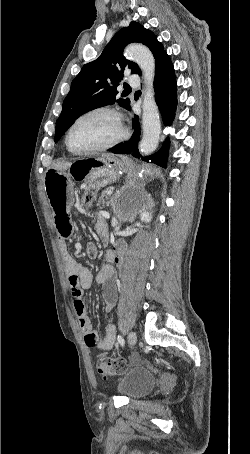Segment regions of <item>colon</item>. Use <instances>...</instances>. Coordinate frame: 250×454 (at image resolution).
<instances>
[{
  "instance_id": "colon-1",
  "label": "colon",
  "mask_w": 250,
  "mask_h": 454,
  "mask_svg": "<svg viewBox=\"0 0 250 454\" xmlns=\"http://www.w3.org/2000/svg\"><path fill=\"white\" fill-rule=\"evenodd\" d=\"M95 203V194L91 190H83L81 194V207L86 209ZM128 364L123 358L99 357L96 360L97 371L104 377H110L127 369Z\"/></svg>"
}]
</instances>
